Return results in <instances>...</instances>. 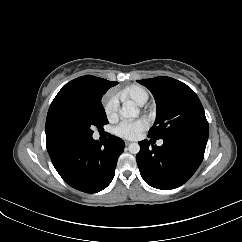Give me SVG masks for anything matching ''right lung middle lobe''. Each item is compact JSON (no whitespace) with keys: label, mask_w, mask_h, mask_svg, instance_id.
Returning <instances> with one entry per match:
<instances>
[{"label":"right lung middle lobe","mask_w":242,"mask_h":242,"mask_svg":"<svg viewBox=\"0 0 242 242\" xmlns=\"http://www.w3.org/2000/svg\"><path fill=\"white\" fill-rule=\"evenodd\" d=\"M101 96L91 100L63 99L48 112L46 124L57 137L81 133L92 136L93 128L108 123Z\"/></svg>","instance_id":"1"}]
</instances>
